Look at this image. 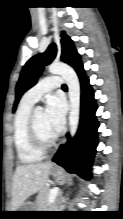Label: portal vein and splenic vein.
Returning a JSON list of instances; mask_svg holds the SVG:
<instances>
[{
    "instance_id": "obj_1",
    "label": "portal vein and splenic vein",
    "mask_w": 123,
    "mask_h": 219,
    "mask_svg": "<svg viewBox=\"0 0 123 219\" xmlns=\"http://www.w3.org/2000/svg\"><path fill=\"white\" fill-rule=\"evenodd\" d=\"M58 192H59L58 187H54V188L51 189L50 194H49V198H48L49 203L54 202L56 196L58 195Z\"/></svg>"
}]
</instances>
